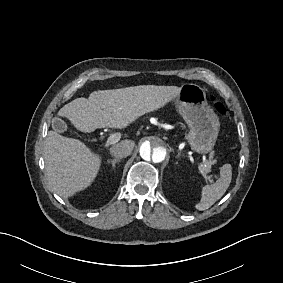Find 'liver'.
<instances>
[{
	"label": "liver",
	"mask_w": 283,
	"mask_h": 283,
	"mask_svg": "<svg viewBox=\"0 0 283 283\" xmlns=\"http://www.w3.org/2000/svg\"><path fill=\"white\" fill-rule=\"evenodd\" d=\"M181 92L182 88L177 86L155 85L93 92L89 98H77L65 105L57 117L66 118L83 133L105 127L123 130L140 117L163 109ZM44 162L52 189L62 198H70L91 187L101 170L103 157L78 139L49 131Z\"/></svg>",
	"instance_id": "1"
}]
</instances>
